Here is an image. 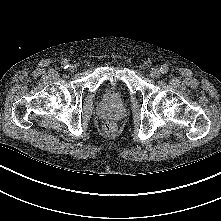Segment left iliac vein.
<instances>
[{
	"mask_svg": "<svg viewBox=\"0 0 221 221\" xmlns=\"http://www.w3.org/2000/svg\"><path fill=\"white\" fill-rule=\"evenodd\" d=\"M150 76L152 78H158L160 76V71L159 69L157 68H153L151 71H150Z\"/></svg>",
	"mask_w": 221,
	"mask_h": 221,
	"instance_id": "obj_1",
	"label": "left iliac vein"
}]
</instances>
